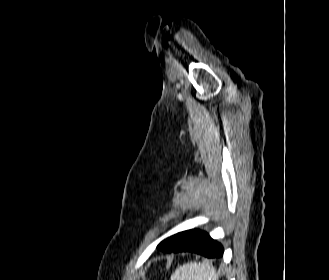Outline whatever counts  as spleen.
<instances>
[{
  "mask_svg": "<svg viewBox=\"0 0 329 280\" xmlns=\"http://www.w3.org/2000/svg\"><path fill=\"white\" fill-rule=\"evenodd\" d=\"M171 280H217L216 270L208 262H190L178 267Z\"/></svg>",
  "mask_w": 329,
  "mask_h": 280,
  "instance_id": "spleen-1",
  "label": "spleen"
}]
</instances>
